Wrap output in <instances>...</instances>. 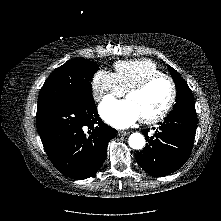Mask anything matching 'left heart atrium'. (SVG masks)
Returning <instances> with one entry per match:
<instances>
[{"instance_id":"1","label":"left heart atrium","mask_w":221,"mask_h":221,"mask_svg":"<svg viewBox=\"0 0 221 221\" xmlns=\"http://www.w3.org/2000/svg\"><path fill=\"white\" fill-rule=\"evenodd\" d=\"M101 117L116 128H127L138 121L141 116L135 105L128 99L106 100L99 108Z\"/></svg>"}]
</instances>
